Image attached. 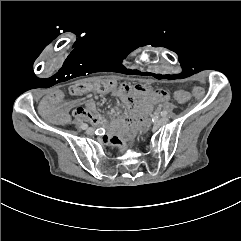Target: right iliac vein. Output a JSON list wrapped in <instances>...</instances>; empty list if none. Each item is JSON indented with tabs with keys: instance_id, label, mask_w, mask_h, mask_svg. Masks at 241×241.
I'll use <instances>...</instances> for the list:
<instances>
[{
	"instance_id": "63e3f726",
	"label": "right iliac vein",
	"mask_w": 241,
	"mask_h": 241,
	"mask_svg": "<svg viewBox=\"0 0 241 241\" xmlns=\"http://www.w3.org/2000/svg\"><path fill=\"white\" fill-rule=\"evenodd\" d=\"M94 128H91V127H89V128H87L86 129V132H87V134H89V135H92V134H94Z\"/></svg>"
}]
</instances>
